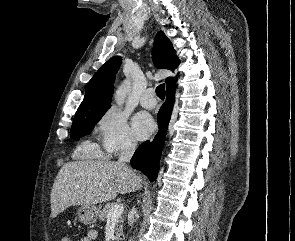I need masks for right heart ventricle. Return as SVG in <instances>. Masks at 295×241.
Listing matches in <instances>:
<instances>
[{
  "mask_svg": "<svg viewBox=\"0 0 295 241\" xmlns=\"http://www.w3.org/2000/svg\"><path fill=\"white\" fill-rule=\"evenodd\" d=\"M74 156L82 159H100L104 158V153L93 143L83 142L75 150Z\"/></svg>",
  "mask_w": 295,
  "mask_h": 241,
  "instance_id": "right-heart-ventricle-1",
  "label": "right heart ventricle"
}]
</instances>
